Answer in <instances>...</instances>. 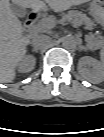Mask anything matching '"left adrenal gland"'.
Segmentation results:
<instances>
[{"label":"left adrenal gland","mask_w":104,"mask_h":137,"mask_svg":"<svg viewBox=\"0 0 104 137\" xmlns=\"http://www.w3.org/2000/svg\"><path fill=\"white\" fill-rule=\"evenodd\" d=\"M79 50H80V51H86L87 49H86V47L80 45V46H79Z\"/></svg>","instance_id":"1"}]
</instances>
